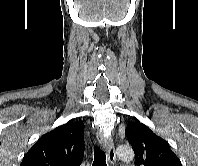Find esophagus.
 <instances>
[{"instance_id": "esophagus-1", "label": "esophagus", "mask_w": 198, "mask_h": 166, "mask_svg": "<svg viewBox=\"0 0 198 166\" xmlns=\"http://www.w3.org/2000/svg\"><path fill=\"white\" fill-rule=\"evenodd\" d=\"M96 137L99 142L100 147L104 148L107 152V159L111 165H114L117 161V156L114 148V143L112 138L105 137L102 132L97 131Z\"/></svg>"}]
</instances>
